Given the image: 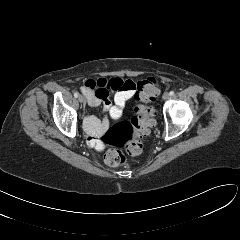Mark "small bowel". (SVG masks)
<instances>
[{
    "label": "small bowel",
    "instance_id": "small-bowel-1",
    "mask_svg": "<svg viewBox=\"0 0 240 240\" xmlns=\"http://www.w3.org/2000/svg\"><path fill=\"white\" fill-rule=\"evenodd\" d=\"M81 92L90 107L102 104L105 112L102 120L91 115L84 119L85 130L93 139L107 128L110 120L118 119L122 115L126 102L135 95V83L118 77L88 79L81 87ZM109 92L114 94V104L109 99Z\"/></svg>",
    "mask_w": 240,
    "mask_h": 240
}]
</instances>
